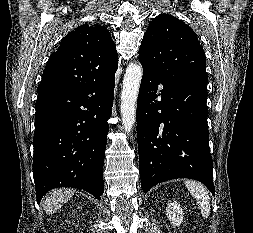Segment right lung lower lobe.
Here are the masks:
<instances>
[{"label":"right lung lower lobe","mask_w":253,"mask_h":233,"mask_svg":"<svg viewBox=\"0 0 253 233\" xmlns=\"http://www.w3.org/2000/svg\"><path fill=\"white\" fill-rule=\"evenodd\" d=\"M115 71L38 93L33 139L38 203L46 192L58 187L81 188L97 199L103 194Z\"/></svg>","instance_id":"1"}]
</instances>
